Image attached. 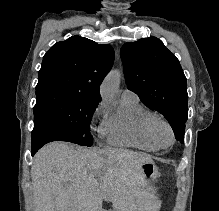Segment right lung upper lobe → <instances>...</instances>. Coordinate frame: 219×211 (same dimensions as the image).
<instances>
[{"label":"right lung upper lobe","instance_id":"right-lung-upper-lobe-1","mask_svg":"<svg viewBox=\"0 0 219 211\" xmlns=\"http://www.w3.org/2000/svg\"><path fill=\"white\" fill-rule=\"evenodd\" d=\"M113 61L110 45L80 36L60 41L43 57L36 94L59 91L101 101L99 87Z\"/></svg>","mask_w":219,"mask_h":211}]
</instances>
